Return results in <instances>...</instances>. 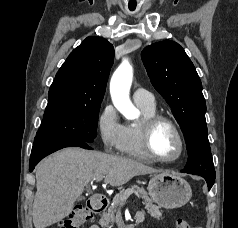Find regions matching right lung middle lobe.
Listing matches in <instances>:
<instances>
[{"instance_id":"dd1d6c3e","label":"right lung middle lobe","mask_w":238,"mask_h":228,"mask_svg":"<svg viewBox=\"0 0 238 228\" xmlns=\"http://www.w3.org/2000/svg\"><path fill=\"white\" fill-rule=\"evenodd\" d=\"M100 105L59 109L44 114L35 142L80 140L93 142L97 136Z\"/></svg>"}]
</instances>
